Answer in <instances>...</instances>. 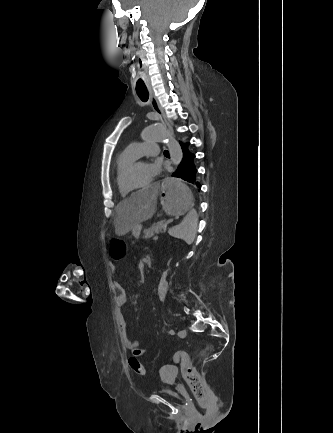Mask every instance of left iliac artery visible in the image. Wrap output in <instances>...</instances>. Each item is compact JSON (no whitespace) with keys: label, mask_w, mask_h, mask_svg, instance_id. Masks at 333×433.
I'll return each mask as SVG.
<instances>
[{"label":"left iliac artery","mask_w":333,"mask_h":433,"mask_svg":"<svg viewBox=\"0 0 333 433\" xmlns=\"http://www.w3.org/2000/svg\"><path fill=\"white\" fill-rule=\"evenodd\" d=\"M169 333H170L171 335H174V334H175L174 330H172V329L169 331Z\"/></svg>","instance_id":"obj_1"}]
</instances>
